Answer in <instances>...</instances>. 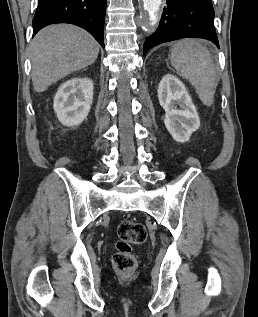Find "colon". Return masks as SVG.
Instances as JSON below:
<instances>
[{"label": "colon", "instance_id": "colon-1", "mask_svg": "<svg viewBox=\"0 0 258 317\" xmlns=\"http://www.w3.org/2000/svg\"><path fill=\"white\" fill-rule=\"evenodd\" d=\"M118 242L116 252L112 257V267L116 272L129 274L137 265L132 246L145 242L147 234L145 227L136 221L125 220L117 228Z\"/></svg>", "mask_w": 258, "mask_h": 317}]
</instances>
